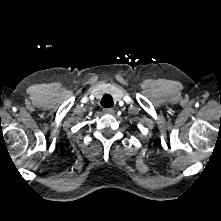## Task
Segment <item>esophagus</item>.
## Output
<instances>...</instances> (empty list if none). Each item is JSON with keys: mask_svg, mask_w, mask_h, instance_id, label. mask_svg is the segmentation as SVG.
Listing matches in <instances>:
<instances>
[{"mask_svg": "<svg viewBox=\"0 0 221 221\" xmlns=\"http://www.w3.org/2000/svg\"><path fill=\"white\" fill-rule=\"evenodd\" d=\"M103 112L106 114H112L114 112V109L113 108H104Z\"/></svg>", "mask_w": 221, "mask_h": 221, "instance_id": "esophagus-1", "label": "esophagus"}]
</instances>
